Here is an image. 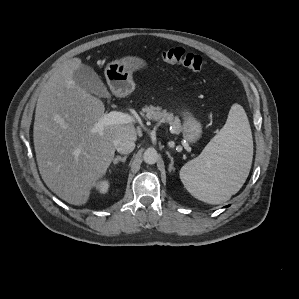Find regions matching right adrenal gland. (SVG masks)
<instances>
[{
    "label": "right adrenal gland",
    "mask_w": 299,
    "mask_h": 299,
    "mask_svg": "<svg viewBox=\"0 0 299 299\" xmlns=\"http://www.w3.org/2000/svg\"><path fill=\"white\" fill-rule=\"evenodd\" d=\"M126 159H127V155H125L124 157L116 156V157L113 159V164L116 165V164H118L119 162H123V163H125V162H126Z\"/></svg>",
    "instance_id": "2a0ac1e0"
}]
</instances>
